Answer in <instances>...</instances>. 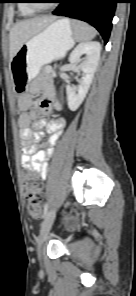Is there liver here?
<instances>
[{
	"label": "liver",
	"mask_w": 136,
	"mask_h": 296,
	"mask_svg": "<svg viewBox=\"0 0 136 296\" xmlns=\"http://www.w3.org/2000/svg\"><path fill=\"white\" fill-rule=\"evenodd\" d=\"M56 17L42 16L22 20L11 29L9 34V51L12 59L20 47L31 37L41 32L46 26L52 23Z\"/></svg>",
	"instance_id": "1"
}]
</instances>
